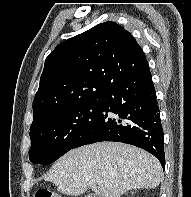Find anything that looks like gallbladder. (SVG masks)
I'll return each instance as SVG.
<instances>
[{
    "label": "gallbladder",
    "instance_id": "bac80fb5",
    "mask_svg": "<svg viewBox=\"0 0 191 197\" xmlns=\"http://www.w3.org/2000/svg\"><path fill=\"white\" fill-rule=\"evenodd\" d=\"M85 197H98V196H96V195H94V194H88V195L85 196Z\"/></svg>",
    "mask_w": 191,
    "mask_h": 197
}]
</instances>
